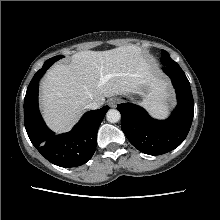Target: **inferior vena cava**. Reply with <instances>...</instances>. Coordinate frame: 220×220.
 <instances>
[{"label": "inferior vena cava", "mask_w": 220, "mask_h": 220, "mask_svg": "<svg viewBox=\"0 0 220 220\" xmlns=\"http://www.w3.org/2000/svg\"><path fill=\"white\" fill-rule=\"evenodd\" d=\"M100 106L101 105L98 102L93 101V102H91L90 104L87 105V108L91 109V110H95V109L100 108Z\"/></svg>", "instance_id": "602c4592"}]
</instances>
